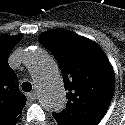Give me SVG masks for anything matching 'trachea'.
I'll return each mask as SVG.
<instances>
[{
  "mask_svg": "<svg viewBox=\"0 0 125 125\" xmlns=\"http://www.w3.org/2000/svg\"><path fill=\"white\" fill-rule=\"evenodd\" d=\"M22 90L25 92H30L32 90V85L30 82L22 83Z\"/></svg>",
  "mask_w": 125,
  "mask_h": 125,
  "instance_id": "obj_1",
  "label": "trachea"
}]
</instances>
